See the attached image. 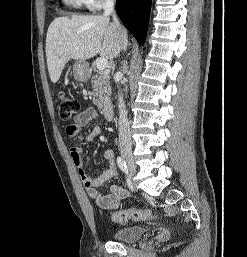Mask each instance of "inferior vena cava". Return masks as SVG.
I'll use <instances>...</instances> for the list:
<instances>
[{
	"instance_id": "602c4592",
	"label": "inferior vena cava",
	"mask_w": 247,
	"mask_h": 257,
	"mask_svg": "<svg viewBox=\"0 0 247 257\" xmlns=\"http://www.w3.org/2000/svg\"><path fill=\"white\" fill-rule=\"evenodd\" d=\"M104 15L108 16L112 14L114 25H116L122 31V49L125 51L127 48L128 40L126 33L122 25L120 24L115 12H114V0H104L103 3ZM124 34V36H123ZM122 73H117L116 79L119 82L122 79ZM118 108H119V120H118V131H119V145L121 148L131 147V134H130V125L127 119V111L123 101L122 94L118 95Z\"/></svg>"
}]
</instances>
